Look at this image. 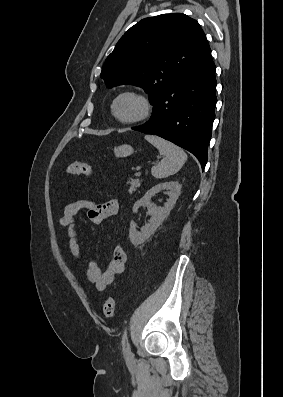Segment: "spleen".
<instances>
[{"label":"spleen","instance_id":"3e777b00","mask_svg":"<svg viewBox=\"0 0 283 397\" xmlns=\"http://www.w3.org/2000/svg\"><path fill=\"white\" fill-rule=\"evenodd\" d=\"M145 139L155 146L164 158L152 167L151 173L157 179L177 173L187 160V154L175 144L158 136L146 135Z\"/></svg>","mask_w":283,"mask_h":397}]
</instances>
